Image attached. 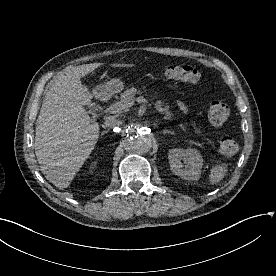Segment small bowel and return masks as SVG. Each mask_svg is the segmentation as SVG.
Returning a JSON list of instances; mask_svg holds the SVG:
<instances>
[{"instance_id": "obj_1", "label": "small bowel", "mask_w": 276, "mask_h": 276, "mask_svg": "<svg viewBox=\"0 0 276 276\" xmlns=\"http://www.w3.org/2000/svg\"><path fill=\"white\" fill-rule=\"evenodd\" d=\"M177 106H178V108H179L183 113H187V107H186V105H185L184 103L178 102V103H177Z\"/></svg>"}]
</instances>
